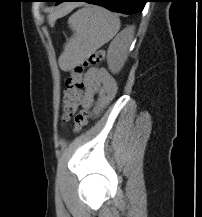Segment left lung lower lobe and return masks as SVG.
<instances>
[{
	"label": "left lung lower lobe",
	"mask_w": 202,
	"mask_h": 217,
	"mask_svg": "<svg viewBox=\"0 0 202 217\" xmlns=\"http://www.w3.org/2000/svg\"><path fill=\"white\" fill-rule=\"evenodd\" d=\"M65 1L87 2L124 14H135L141 12L146 3V0H55L56 5Z\"/></svg>",
	"instance_id": "left-lung-lower-lobe-1"
}]
</instances>
